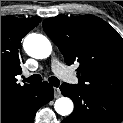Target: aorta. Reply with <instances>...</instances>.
Instances as JSON below:
<instances>
[{
    "label": "aorta",
    "mask_w": 123,
    "mask_h": 123,
    "mask_svg": "<svg viewBox=\"0 0 123 123\" xmlns=\"http://www.w3.org/2000/svg\"><path fill=\"white\" fill-rule=\"evenodd\" d=\"M23 47L29 56L36 59H45L52 52L51 42L42 34L32 33L27 35ZM54 108L58 114L68 116L72 113L74 105L70 98L61 97L55 101Z\"/></svg>",
    "instance_id": "762f6f07"
}]
</instances>
